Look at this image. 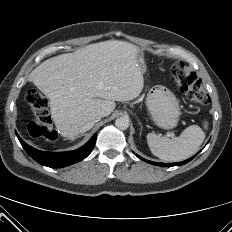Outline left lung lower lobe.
Returning <instances> with one entry per match:
<instances>
[{
    "instance_id": "obj_1",
    "label": "left lung lower lobe",
    "mask_w": 232,
    "mask_h": 232,
    "mask_svg": "<svg viewBox=\"0 0 232 232\" xmlns=\"http://www.w3.org/2000/svg\"><path fill=\"white\" fill-rule=\"evenodd\" d=\"M136 156L138 158H140L141 160L145 161V162H148L150 164L157 165V166H163V167L180 166V165L186 164L187 162H189L190 160H192L195 157V156H193V157H191L188 160H185V161H182V162H178V163H159V162H152V161L146 160V159H144V158H142V157H140L138 155H136Z\"/></svg>"
}]
</instances>
